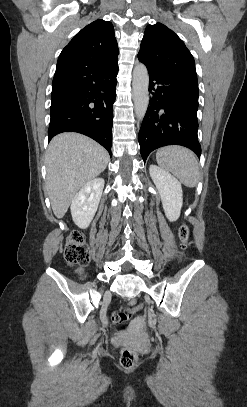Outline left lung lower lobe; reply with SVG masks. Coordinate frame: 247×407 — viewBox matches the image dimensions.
I'll list each match as a JSON object with an SVG mask.
<instances>
[{
	"label": "left lung lower lobe",
	"instance_id": "left-lung-lower-lobe-1",
	"mask_svg": "<svg viewBox=\"0 0 247 407\" xmlns=\"http://www.w3.org/2000/svg\"><path fill=\"white\" fill-rule=\"evenodd\" d=\"M146 67L154 92L138 136L144 162L153 150L167 145L185 146L200 158L197 80Z\"/></svg>",
	"mask_w": 247,
	"mask_h": 407
}]
</instances>
